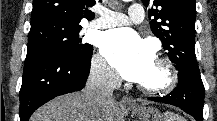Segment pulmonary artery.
<instances>
[{"label":"pulmonary artery","instance_id":"1","mask_svg":"<svg viewBox=\"0 0 217 121\" xmlns=\"http://www.w3.org/2000/svg\"><path fill=\"white\" fill-rule=\"evenodd\" d=\"M99 14V18L90 22V28L105 29L129 23H139L144 18V9L139 4H133L129 7L127 14L115 12L109 9H103Z\"/></svg>","mask_w":217,"mask_h":121}]
</instances>
